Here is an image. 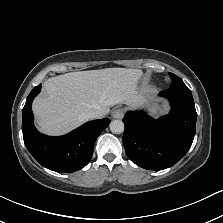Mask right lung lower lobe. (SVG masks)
Listing matches in <instances>:
<instances>
[{"label": "right lung lower lobe", "mask_w": 223, "mask_h": 223, "mask_svg": "<svg viewBox=\"0 0 223 223\" xmlns=\"http://www.w3.org/2000/svg\"><path fill=\"white\" fill-rule=\"evenodd\" d=\"M40 90L41 84L32 89L23 108L24 143L37 162L47 169L63 173L80 170L89 163L94 143L110 120L104 118L87 122L64 136L43 135L34 127L31 108Z\"/></svg>", "instance_id": "obj_1"}]
</instances>
